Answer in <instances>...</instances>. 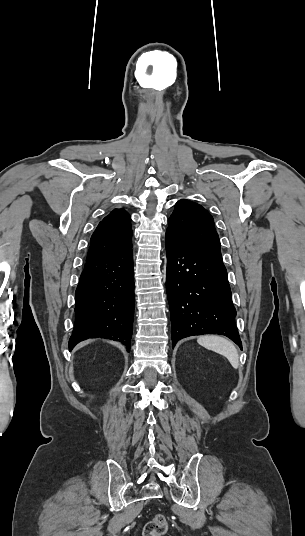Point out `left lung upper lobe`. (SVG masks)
<instances>
[{"instance_id": "1", "label": "left lung upper lobe", "mask_w": 305, "mask_h": 536, "mask_svg": "<svg viewBox=\"0 0 305 536\" xmlns=\"http://www.w3.org/2000/svg\"><path fill=\"white\" fill-rule=\"evenodd\" d=\"M168 222L167 235L188 247L221 254L213 217L201 205L184 199L178 201Z\"/></svg>"}]
</instances>
